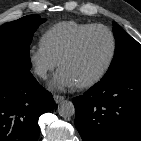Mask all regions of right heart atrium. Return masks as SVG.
<instances>
[{
  "instance_id": "right-heart-atrium-1",
  "label": "right heart atrium",
  "mask_w": 141,
  "mask_h": 141,
  "mask_svg": "<svg viewBox=\"0 0 141 141\" xmlns=\"http://www.w3.org/2000/svg\"><path fill=\"white\" fill-rule=\"evenodd\" d=\"M28 61L32 73L39 79H46L57 65L55 60L41 45L32 46L28 51Z\"/></svg>"
}]
</instances>
